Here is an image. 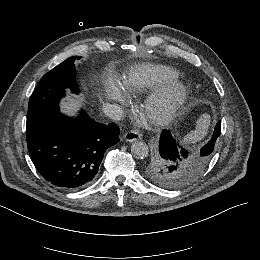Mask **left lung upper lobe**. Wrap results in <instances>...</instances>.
Listing matches in <instances>:
<instances>
[{"label":"left lung upper lobe","mask_w":260,"mask_h":260,"mask_svg":"<svg viewBox=\"0 0 260 260\" xmlns=\"http://www.w3.org/2000/svg\"><path fill=\"white\" fill-rule=\"evenodd\" d=\"M213 153L198 152L177 160L164 159L155 146L143 165L145 177L157 186L176 189L195 181L204 171Z\"/></svg>","instance_id":"1"}]
</instances>
